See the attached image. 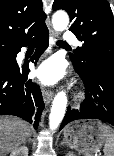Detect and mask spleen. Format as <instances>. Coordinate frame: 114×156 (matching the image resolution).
Here are the masks:
<instances>
[{"label": "spleen", "instance_id": "spleen-1", "mask_svg": "<svg viewBox=\"0 0 114 156\" xmlns=\"http://www.w3.org/2000/svg\"><path fill=\"white\" fill-rule=\"evenodd\" d=\"M103 129L106 132L107 140L104 145V156H114V130L108 126L103 124Z\"/></svg>", "mask_w": 114, "mask_h": 156}]
</instances>
